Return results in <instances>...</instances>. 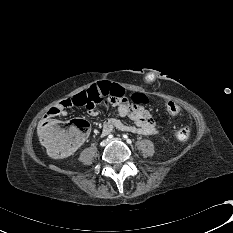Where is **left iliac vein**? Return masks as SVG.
Segmentation results:
<instances>
[{"label":"left iliac vein","instance_id":"4c4485c4","mask_svg":"<svg viewBox=\"0 0 233 233\" xmlns=\"http://www.w3.org/2000/svg\"><path fill=\"white\" fill-rule=\"evenodd\" d=\"M112 140H120V138H113V139H111V141H112Z\"/></svg>","mask_w":233,"mask_h":233}]
</instances>
